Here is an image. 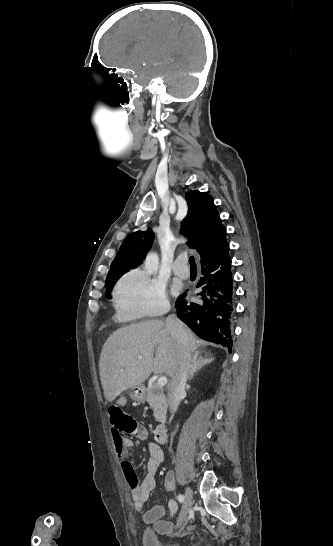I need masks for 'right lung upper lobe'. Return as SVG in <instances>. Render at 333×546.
Returning a JSON list of instances; mask_svg holds the SVG:
<instances>
[{"label":"right lung upper lobe","mask_w":333,"mask_h":546,"mask_svg":"<svg viewBox=\"0 0 333 546\" xmlns=\"http://www.w3.org/2000/svg\"><path fill=\"white\" fill-rule=\"evenodd\" d=\"M185 198L189 209L181 224V232L189 239L188 245L197 249L200 261L207 262L227 244L226 228L221 223L210 195L190 191ZM153 241L154 233L151 228L129 235L112 261L108 275L117 271H129L142 264Z\"/></svg>","instance_id":"cb5924a9"}]
</instances>
